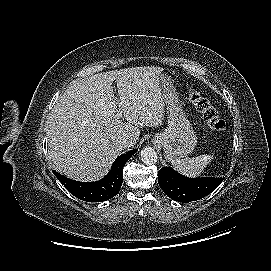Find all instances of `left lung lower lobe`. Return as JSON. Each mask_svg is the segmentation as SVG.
Returning <instances> with one entry per match:
<instances>
[{"instance_id": "0a47b994", "label": "left lung lower lobe", "mask_w": 271, "mask_h": 271, "mask_svg": "<svg viewBox=\"0 0 271 271\" xmlns=\"http://www.w3.org/2000/svg\"><path fill=\"white\" fill-rule=\"evenodd\" d=\"M223 178L201 177L188 178L173 168L159 170L158 183L164 193L172 200L186 203L199 200L214 191Z\"/></svg>"}]
</instances>
